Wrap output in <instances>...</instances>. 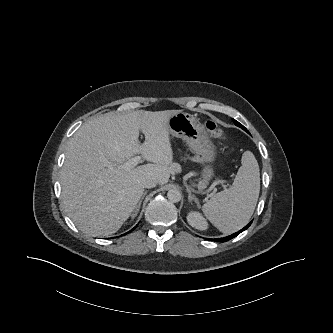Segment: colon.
Segmentation results:
<instances>
[{"label": "colon", "instance_id": "5ec220e1", "mask_svg": "<svg viewBox=\"0 0 333 333\" xmlns=\"http://www.w3.org/2000/svg\"><path fill=\"white\" fill-rule=\"evenodd\" d=\"M206 128L210 132V134L215 137H219L221 135V130L219 129L217 124L212 120H208L206 122Z\"/></svg>", "mask_w": 333, "mask_h": 333}]
</instances>
